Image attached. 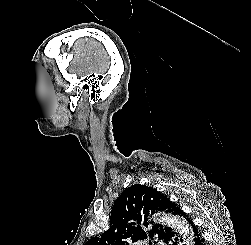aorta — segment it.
<instances>
[{"label": "aorta", "mask_w": 251, "mask_h": 245, "mask_svg": "<svg viewBox=\"0 0 251 245\" xmlns=\"http://www.w3.org/2000/svg\"><path fill=\"white\" fill-rule=\"evenodd\" d=\"M160 222L167 224L168 226H171L173 229L178 231L181 234H184L185 237H187L189 240L191 239V229L189 225L181 220L180 218L176 216H169L164 215L162 218H160Z\"/></svg>", "instance_id": "1"}]
</instances>
